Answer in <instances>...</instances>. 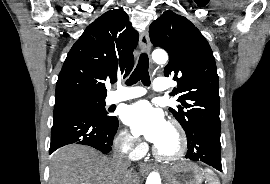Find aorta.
<instances>
[{"label":"aorta","mask_w":270,"mask_h":184,"mask_svg":"<svg viewBox=\"0 0 270 184\" xmlns=\"http://www.w3.org/2000/svg\"><path fill=\"white\" fill-rule=\"evenodd\" d=\"M153 60L158 64H164L168 60L165 51H154L152 54ZM146 184H161V178L158 172H151L147 177Z\"/></svg>","instance_id":"1"}]
</instances>
